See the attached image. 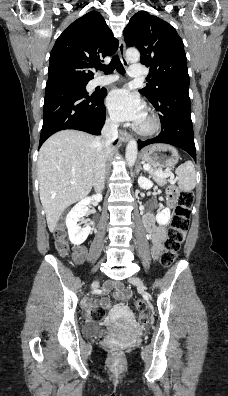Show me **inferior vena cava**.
<instances>
[{"instance_id":"1","label":"inferior vena cava","mask_w":228,"mask_h":396,"mask_svg":"<svg viewBox=\"0 0 228 396\" xmlns=\"http://www.w3.org/2000/svg\"><path fill=\"white\" fill-rule=\"evenodd\" d=\"M117 138L118 123L114 120H106L101 135L96 139L98 148L93 180V186L96 191H101L104 188L106 161L112 152L111 143Z\"/></svg>"}]
</instances>
